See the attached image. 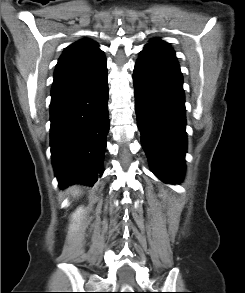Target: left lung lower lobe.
<instances>
[{
	"label": "left lung lower lobe",
	"instance_id": "0a47b994",
	"mask_svg": "<svg viewBox=\"0 0 245 293\" xmlns=\"http://www.w3.org/2000/svg\"><path fill=\"white\" fill-rule=\"evenodd\" d=\"M135 110L151 171L179 183L185 171L187 136L183 77L175 55L145 47L133 73Z\"/></svg>",
	"mask_w": 245,
	"mask_h": 293
}]
</instances>
